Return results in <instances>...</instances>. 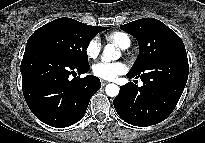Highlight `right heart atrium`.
Listing matches in <instances>:
<instances>
[{
    "instance_id": "d8ad5b80",
    "label": "right heart atrium",
    "mask_w": 205,
    "mask_h": 143,
    "mask_svg": "<svg viewBox=\"0 0 205 143\" xmlns=\"http://www.w3.org/2000/svg\"><path fill=\"white\" fill-rule=\"evenodd\" d=\"M102 44L98 37L91 38L85 48L86 55L90 59H95L101 52Z\"/></svg>"
}]
</instances>
